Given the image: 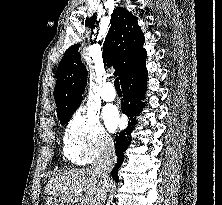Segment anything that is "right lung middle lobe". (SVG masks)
Masks as SVG:
<instances>
[{
    "label": "right lung middle lobe",
    "mask_w": 222,
    "mask_h": 205,
    "mask_svg": "<svg viewBox=\"0 0 222 205\" xmlns=\"http://www.w3.org/2000/svg\"><path fill=\"white\" fill-rule=\"evenodd\" d=\"M71 117L65 118V119H60V123L61 125H64L65 123H67L70 120Z\"/></svg>",
    "instance_id": "dd1d6c3e"
}]
</instances>
